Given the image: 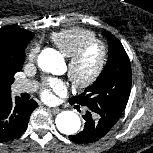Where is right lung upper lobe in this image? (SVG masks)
<instances>
[{
    "mask_svg": "<svg viewBox=\"0 0 153 153\" xmlns=\"http://www.w3.org/2000/svg\"><path fill=\"white\" fill-rule=\"evenodd\" d=\"M33 37L34 33L14 25L0 28V61L25 57V48ZM10 85L0 77V98L11 94Z\"/></svg>",
    "mask_w": 153,
    "mask_h": 153,
    "instance_id": "1",
    "label": "right lung upper lobe"
}]
</instances>
